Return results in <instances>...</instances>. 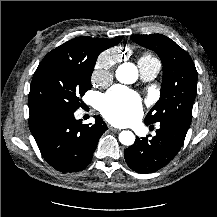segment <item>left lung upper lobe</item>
<instances>
[{
  "label": "left lung upper lobe",
  "instance_id": "left-lung-upper-lobe-1",
  "mask_svg": "<svg viewBox=\"0 0 217 217\" xmlns=\"http://www.w3.org/2000/svg\"><path fill=\"white\" fill-rule=\"evenodd\" d=\"M130 39L156 52L164 66L160 99L144 121L176 119L190 125L197 93V71L189 54L161 34L134 35Z\"/></svg>",
  "mask_w": 217,
  "mask_h": 217
}]
</instances>
